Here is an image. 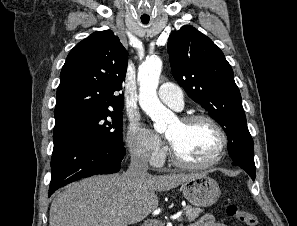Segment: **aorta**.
Wrapping results in <instances>:
<instances>
[{
    "label": "aorta",
    "mask_w": 297,
    "mask_h": 226,
    "mask_svg": "<svg viewBox=\"0 0 297 226\" xmlns=\"http://www.w3.org/2000/svg\"><path fill=\"white\" fill-rule=\"evenodd\" d=\"M162 61L158 57L148 58L138 70L139 104L142 110L154 121L156 131H164L170 112L157 96Z\"/></svg>",
    "instance_id": "1"
}]
</instances>
